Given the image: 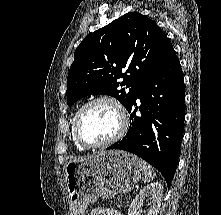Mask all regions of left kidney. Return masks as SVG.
I'll use <instances>...</instances> for the list:
<instances>
[{"mask_svg":"<svg viewBox=\"0 0 221 215\" xmlns=\"http://www.w3.org/2000/svg\"><path fill=\"white\" fill-rule=\"evenodd\" d=\"M163 185L160 182L143 187L129 206L128 215H137V209L143 206L145 198H149V208L146 215H158L161 206Z\"/></svg>","mask_w":221,"mask_h":215,"instance_id":"1","label":"left kidney"}]
</instances>
